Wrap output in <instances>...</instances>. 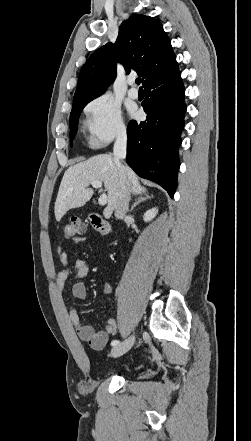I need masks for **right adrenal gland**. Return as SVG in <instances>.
I'll return each mask as SVG.
<instances>
[{
  "mask_svg": "<svg viewBox=\"0 0 251 441\" xmlns=\"http://www.w3.org/2000/svg\"><path fill=\"white\" fill-rule=\"evenodd\" d=\"M148 199H151V196H149L147 194H145L144 197H140V198L136 199L134 204L131 206L130 212H132L137 205H139L140 203H142Z\"/></svg>",
  "mask_w": 251,
  "mask_h": 441,
  "instance_id": "1",
  "label": "right adrenal gland"
}]
</instances>
